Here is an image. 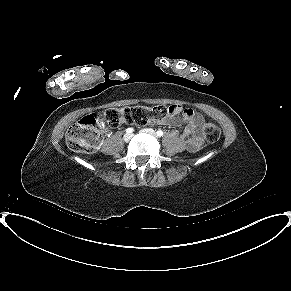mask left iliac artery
<instances>
[{
  "label": "left iliac artery",
  "mask_w": 291,
  "mask_h": 291,
  "mask_svg": "<svg viewBox=\"0 0 291 291\" xmlns=\"http://www.w3.org/2000/svg\"><path fill=\"white\" fill-rule=\"evenodd\" d=\"M163 134H164V133H163L162 130H158V131H157V136L161 137V136H163Z\"/></svg>",
  "instance_id": "44dca946"
}]
</instances>
